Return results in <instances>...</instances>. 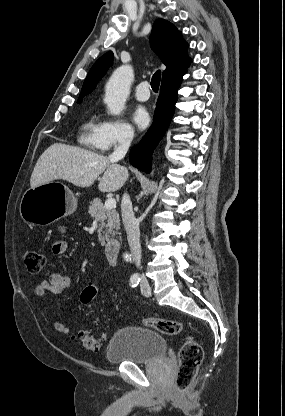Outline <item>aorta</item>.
<instances>
[{
	"label": "aorta",
	"instance_id": "762f6f07",
	"mask_svg": "<svg viewBox=\"0 0 285 416\" xmlns=\"http://www.w3.org/2000/svg\"><path fill=\"white\" fill-rule=\"evenodd\" d=\"M134 78L133 69L129 65L117 68L106 84L105 103L113 115H119L125 108L126 99L130 93V86ZM126 261H131V256L125 254Z\"/></svg>",
	"mask_w": 285,
	"mask_h": 416
}]
</instances>
